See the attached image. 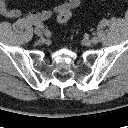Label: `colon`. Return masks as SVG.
Wrapping results in <instances>:
<instances>
[{
	"label": "colon",
	"mask_w": 128,
	"mask_h": 128,
	"mask_svg": "<svg viewBox=\"0 0 128 128\" xmlns=\"http://www.w3.org/2000/svg\"><path fill=\"white\" fill-rule=\"evenodd\" d=\"M73 13L72 9H63L57 14V21L59 24H65L69 21Z\"/></svg>",
	"instance_id": "1"
}]
</instances>
